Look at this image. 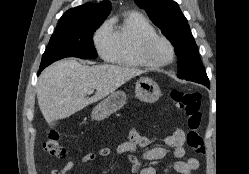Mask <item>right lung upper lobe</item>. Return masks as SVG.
<instances>
[{
  "label": "right lung upper lobe",
  "mask_w": 249,
  "mask_h": 174,
  "mask_svg": "<svg viewBox=\"0 0 249 174\" xmlns=\"http://www.w3.org/2000/svg\"><path fill=\"white\" fill-rule=\"evenodd\" d=\"M112 9L109 1L99 4L87 3L66 11L60 18L56 31L70 30L91 22L104 21Z\"/></svg>",
  "instance_id": "cb5924a9"
}]
</instances>
